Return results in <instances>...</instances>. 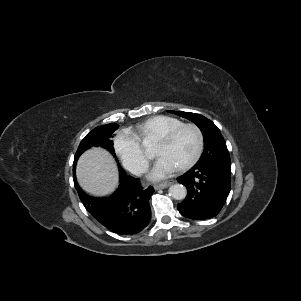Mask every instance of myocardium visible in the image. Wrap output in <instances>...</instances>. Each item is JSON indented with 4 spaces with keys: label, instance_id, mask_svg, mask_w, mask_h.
I'll list each match as a JSON object with an SVG mask.
<instances>
[{
    "label": "myocardium",
    "instance_id": "obj_1",
    "mask_svg": "<svg viewBox=\"0 0 301 301\" xmlns=\"http://www.w3.org/2000/svg\"><path fill=\"white\" fill-rule=\"evenodd\" d=\"M186 128H191L194 130L196 137H197V146L194 154L192 157L186 161L184 164L178 167L179 170H185L191 166H193L198 159L200 158L202 151H203V145H204V138H203V133L201 129L194 123H182L181 125L171 129L170 131L162 134L157 138V141L163 142V143H169L175 137L184 129Z\"/></svg>",
    "mask_w": 301,
    "mask_h": 301
}]
</instances>
